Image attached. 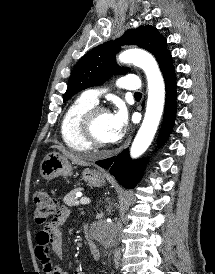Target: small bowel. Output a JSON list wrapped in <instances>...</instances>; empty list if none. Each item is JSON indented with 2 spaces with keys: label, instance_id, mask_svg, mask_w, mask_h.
Returning a JSON list of instances; mask_svg holds the SVG:
<instances>
[{
  "label": "small bowel",
  "instance_id": "c3829d8e",
  "mask_svg": "<svg viewBox=\"0 0 215 274\" xmlns=\"http://www.w3.org/2000/svg\"><path fill=\"white\" fill-rule=\"evenodd\" d=\"M69 214L67 208L61 207L51 222L36 235L35 255L42 264L45 274H71L60 269L52 257V255L58 258L62 256L63 235L61 226L68 219Z\"/></svg>",
  "mask_w": 215,
  "mask_h": 274
}]
</instances>
